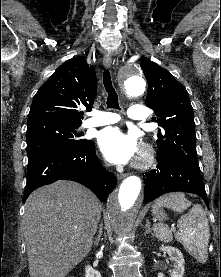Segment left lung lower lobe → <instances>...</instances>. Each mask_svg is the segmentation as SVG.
Returning <instances> with one entry per match:
<instances>
[{"label":"left lung lower lobe","instance_id":"0a47b994","mask_svg":"<svg viewBox=\"0 0 221 277\" xmlns=\"http://www.w3.org/2000/svg\"><path fill=\"white\" fill-rule=\"evenodd\" d=\"M143 179L144 203L165 193L183 191L199 195L209 207L200 168L193 167L181 159H158L157 168L145 173Z\"/></svg>","mask_w":221,"mask_h":277}]
</instances>
